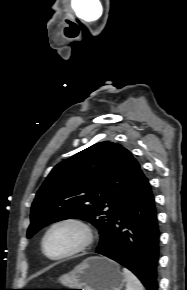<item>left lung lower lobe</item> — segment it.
I'll use <instances>...</instances> for the list:
<instances>
[{"instance_id":"obj_1","label":"left lung lower lobe","mask_w":187,"mask_h":290,"mask_svg":"<svg viewBox=\"0 0 187 290\" xmlns=\"http://www.w3.org/2000/svg\"><path fill=\"white\" fill-rule=\"evenodd\" d=\"M159 236L155 201L145 177L120 204L96 253L128 268L147 290H158Z\"/></svg>"}]
</instances>
